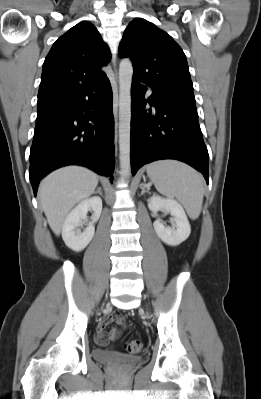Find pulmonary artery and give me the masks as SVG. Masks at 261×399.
<instances>
[{"instance_id":"1","label":"pulmonary artery","mask_w":261,"mask_h":399,"mask_svg":"<svg viewBox=\"0 0 261 399\" xmlns=\"http://www.w3.org/2000/svg\"><path fill=\"white\" fill-rule=\"evenodd\" d=\"M147 93H148L149 95H151V94L153 93L152 89H151V88H148V89H147Z\"/></svg>"}]
</instances>
